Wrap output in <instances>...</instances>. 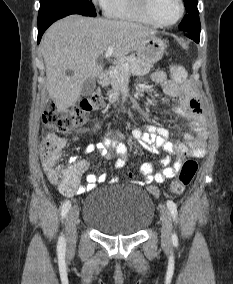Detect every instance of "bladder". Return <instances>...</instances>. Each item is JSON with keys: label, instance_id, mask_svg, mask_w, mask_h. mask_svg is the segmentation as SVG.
<instances>
[{"label": "bladder", "instance_id": "obj_1", "mask_svg": "<svg viewBox=\"0 0 233 284\" xmlns=\"http://www.w3.org/2000/svg\"><path fill=\"white\" fill-rule=\"evenodd\" d=\"M154 214L150 196L143 189L128 186L91 193L85 200L83 221L105 235L130 236L146 230Z\"/></svg>", "mask_w": 233, "mask_h": 284}]
</instances>
